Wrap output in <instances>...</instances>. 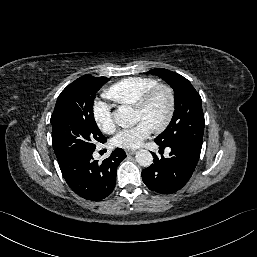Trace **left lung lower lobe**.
Instances as JSON below:
<instances>
[{
    "label": "left lung lower lobe",
    "mask_w": 257,
    "mask_h": 257,
    "mask_svg": "<svg viewBox=\"0 0 257 257\" xmlns=\"http://www.w3.org/2000/svg\"><path fill=\"white\" fill-rule=\"evenodd\" d=\"M157 144L160 150L170 147V157L158 158L153 154L154 164L142 171V179L150 190L172 194L180 190L191 178L200 157L201 147L180 142L166 146Z\"/></svg>",
    "instance_id": "left-lung-lower-lobe-1"
}]
</instances>
